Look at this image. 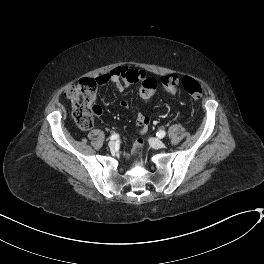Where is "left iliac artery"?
Masks as SVG:
<instances>
[{"label": "left iliac artery", "mask_w": 264, "mask_h": 264, "mask_svg": "<svg viewBox=\"0 0 264 264\" xmlns=\"http://www.w3.org/2000/svg\"><path fill=\"white\" fill-rule=\"evenodd\" d=\"M156 135L159 137V138H163L165 135H166V132L164 130H160L156 133Z\"/></svg>", "instance_id": "44dca946"}]
</instances>
